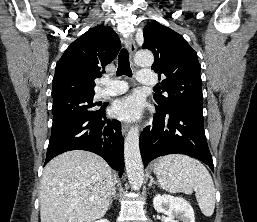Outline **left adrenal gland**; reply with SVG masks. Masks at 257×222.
I'll use <instances>...</instances> for the list:
<instances>
[{
    "label": "left adrenal gland",
    "mask_w": 257,
    "mask_h": 222,
    "mask_svg": "<svg viewBox=\"0 0 257 222\" xmlns=\"http://www.w3.org/2000/svg\"><path fill=\"white\" fill-rule=\"evenodd\" d=\"M152 184H157V182L154 181L152 175L150 176V183H149V187L152 186Z\"/></svg>",
    "instance_id": "left-adrenal-gland-1"
}]
</instances>
